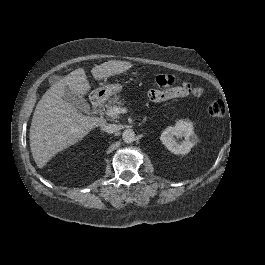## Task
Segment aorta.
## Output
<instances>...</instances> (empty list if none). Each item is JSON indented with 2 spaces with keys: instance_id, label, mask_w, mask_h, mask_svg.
I'll list each match as a JSON object with an SVG mask.
<instances>
[{
  "instance_id": "1",
  "label": "aorta",
  "mask_w": 265,
  "mask_h": 265,
  "mask_svg": "<svg viewBox=\"0 0 265 265\" xmlns=\"http://www.w3.org/2000/svg\"><path fill=\"white\" fill-rule=\"evenodd\" d=\"M122 139L125 143H131L135 141V132L132 129H126L122 133Z\"/></svg>"
}]
</instances>
